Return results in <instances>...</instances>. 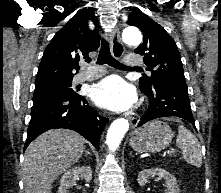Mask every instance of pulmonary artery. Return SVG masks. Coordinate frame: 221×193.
<instances>
[{
  "label": "pulmonary artery",
  "instance_id": "1",
  "mask_svg": "<svg viewBox=\"0 0 221 193\" xmlns=\"http://www.w3.org/2000/svg\"><path fill=\"white\" fill-rule=\"evenodd\" d=\"M124 61L129 66H136L142 64V59L138 54L126 55ZM105 74L104 69L97 70H85L79 74H77L73 80V85H78L83 82L92 81L102 77Z\"/></svg>",
  "mask_w": 221,
  "mask_h": 193
}]
</instances>
